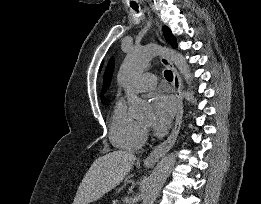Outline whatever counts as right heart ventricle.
<instances>
[{"label":"right heart ventricle","instance_id":"obj_1","mask_svg":"<svg viewBox=\"0 0 261 204\" xmlns=\"http://www.w3.org/2000/svg\"><path fill=\"white\" fill-rule=\"evenodd\" d=\"M109 128L110 141L117 148L137 151L145 142L143 125L127 113L123 101L115 103Z\"/></svg>","mask_w":261,"mask_h":204}]
</instances>
